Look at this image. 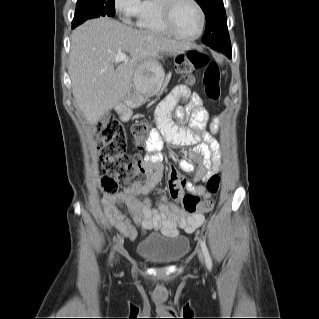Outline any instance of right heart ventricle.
<instances>
[{"instance_id": "right-heart-ventricle-1", "label": "right heart ventricle", "mask_w": 319, "mask_h": 319, "mask_svg": "<svg viewBox=\"0 0 319 319\" xmlns=\"http://www.w3.org/2000/svg\"><path fill=\"white\" fill-rule=\"evenodd\" d=\"M160 2V0L142 1L136 23L142 30L166 35L168 32L162 22Z\"/></svg>"}]
</instances>
